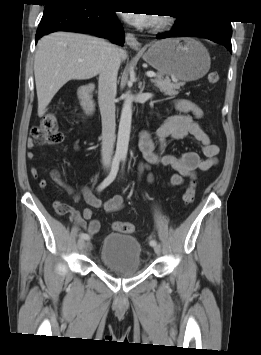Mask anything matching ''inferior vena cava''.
<instances>
[{
	"label": "inferior vena cava",
	"instance_id": "602c4592",
	"mask_svg": "<svg viewBox=\"0 0 261 355\" xmlns=\"http://www.w3.org/2000/svg\"><path fill=\"white\" fill-rule=\"evenodd\" d=\"M120 57L117 47L108 44L98 80V103L102 118L101 156L104 167L111 165L115 142V95Z\"/></svg>",
	"mask_w": 261,
	"mask_h": 355
}]
</instances>
